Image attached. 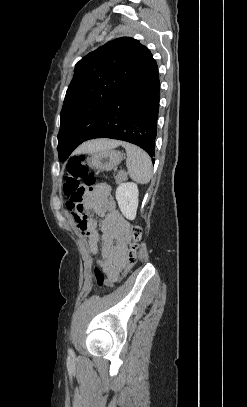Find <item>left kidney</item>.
<instances>
[{
	"mask_svg": "<svg viewBox=\"0 0 247 407\" xmlns=\"http://www.w3.org/2000/svg\"><path fill=\"white\" fill-rule=\"evenodd\" d=\"M116 200L122 214L129 220H134L138 208V186L133 182L119 184L116 189Z\"/></svg>",
	"mask_w": 247,
	"mask_h": 407,
	"instance_id": "obj_1",
	"label": "left kidney"
}]
</instances>
